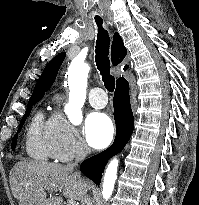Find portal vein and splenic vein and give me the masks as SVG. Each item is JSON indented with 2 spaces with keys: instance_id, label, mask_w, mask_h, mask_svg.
Returning a JSON list of instances; mask_svg holds the SVG:
<instances>
[{
  "instance_id": "1",
  "label": "portal vein and splenic vein",
  "mask_w": 199,
  "mask_h": 205,
  "mask_svg": "<svg viewBox=\"0 0 199 205\" xmlns=\"http://www.w3.org/2000/svg\"><path fill=\"white\" fill-rule=\"evenodd\" d=\"M68 205H75V201H73V200H68Z\"/></svg>"
}]
</instances>
